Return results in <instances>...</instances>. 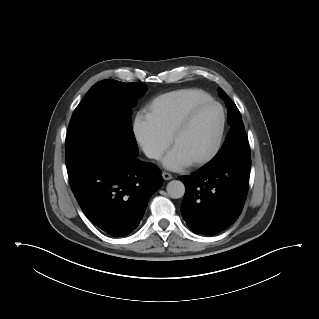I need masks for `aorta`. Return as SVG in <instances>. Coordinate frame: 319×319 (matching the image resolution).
<instances>
[{"mask_svg": "<svg viewBox=\"0 0 319 319\" xmlns=\"http://www.w3.org/2000/svg\"><path fill=\"white\" fill-rule=\"evenodd\" d=\"M166 191L171 198L178 199L184 196L185 186L179 180H172L167 184Z\"/></svg>", "mask_w": 319, "mask_h": 319, "instance_id": "obj_1", "label": "aorta"}]
</instances>
